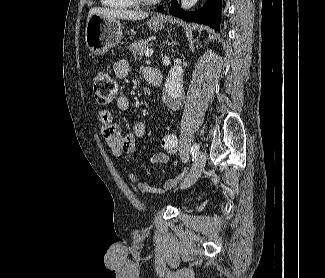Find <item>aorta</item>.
<instances>
[{
  "label": "aorta",
  "mask_w": 325,
  "mask_h": 278,
  "mask_svg": "<svg viewBox=\"0 0 325 278\" xmlns=\"http://www.w3.org/2000/svg\"><path fill=\"white\" fill-rule=\"evenodd\" d=\"M198 0H181V6L188 10L193 7ZM183 68L180 60L175 59L165 83V92L169 100L177 101L183 93Z\"/></svg>",
  "instance_id": "1"
}]
</instances>
